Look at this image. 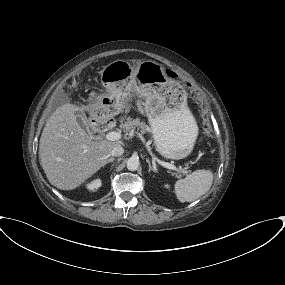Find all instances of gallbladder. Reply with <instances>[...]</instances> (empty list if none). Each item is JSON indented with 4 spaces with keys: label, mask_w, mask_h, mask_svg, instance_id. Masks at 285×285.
Returning <instances> with one entry per match:
<instances>
[{
    "label": "gallbladder",
    "mask_w": 285,
    "mask_h": 285,
    "mask_svg": "<svg viewBox=\"0 0 285 285\" xmlns=\"http://www.w3.org/2000/svg\"><path fill=\"white\" fill-rule=\"evenodd\" d=\"M77 121L82 128L88 131V133L92 136L93 132L90 130V124L85 116V114L81 111L76 113Z\"/></svg>",
    "instance_id": "gallbladder-1"
}]
</instances>
